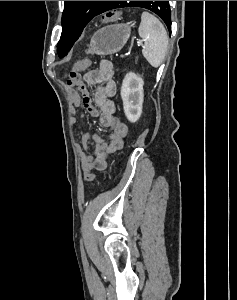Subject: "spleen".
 <instances>
[{
    "instance_id": "spleen-1",
    "label": "spleen",
    "mask_w": 237,
    "mask_h": 300,
    "mask_svg": "<svg viewBox=\"0 0 237 300\" xmlns=\"http://www.w3.org/2000/svg\"><path fill=\"white\" fill-rule=\"evenodd\" d=\"M139 37L144 41L142 55L151 67H160L168 47V35L157 17L144 11L138 29Z\"/></svg>"
}]
</instances>
